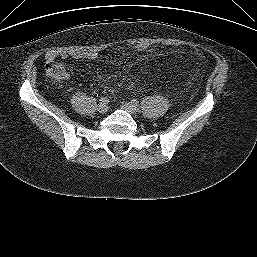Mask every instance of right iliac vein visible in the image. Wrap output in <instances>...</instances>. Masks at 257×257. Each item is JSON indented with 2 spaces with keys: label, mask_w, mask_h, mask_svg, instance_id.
<instances>
[{
  "label": "right iliac vein",
  "mask_w": 257,
  "mask_h": 257,
  "mask_svg": "<svg viewBox=\"0 0 257 257\" xmlns=\"http://www.w3.org/2000/svg\"><path fill=\"white\" fill-rule=\"evenodd\" d=\"M97 111L101 114H104L108 111V105L105 103H99L97 106Z\"/></svg>",
  "instance_id": "right-iliac-vein-1"
}]
</instances>
